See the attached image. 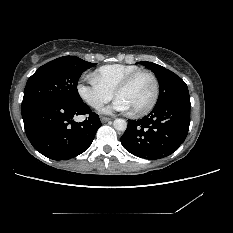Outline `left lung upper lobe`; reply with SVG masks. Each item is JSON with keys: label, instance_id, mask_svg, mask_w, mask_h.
<instances>
[{"label": "left lung upper lobe", "instance_id": "5c2ea615", "mask_svg": "<svg viewBox=\"0 0 233 233\" xmlns=\"http://www.w3.org/2000/svg\"><path fill=\"white\" fill-rule=\"evenodd\" d=\"M152 70L158 78L160 94L156 106L168 101L189 96L186 83L172 71L152 62H139Z\"/></svg>", "mask_w": 233, "mask_h": 233}]
</instances>
